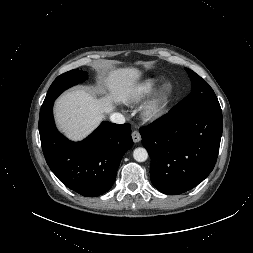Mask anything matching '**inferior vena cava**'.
<instances>
[{
	"label": "inferior vena cava",
	"mask_w": 253,
	"mask_h": 253,
	"mask_svg": "<svg viewBox=\"0 0 253 253\" xmlns=\"http://www.w3.org/2000/svg\"><path fill=\"white\" fill-rule=\"evenodd\" d=\"M110 120H111V122L116 123V124H123V123H125V117L122 114H120V113H113V114H111Z\"/></svg>",
	"instance_id": "602c4592"
}]
</instances>
